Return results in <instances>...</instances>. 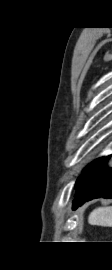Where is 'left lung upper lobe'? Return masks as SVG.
Returning a JSON list of instances; mask_svg holds the SVG:
<instances>
[{
  "label": "left lung upper lobe",
  "instance_id": "1",
  "mask_svg": "<svg viewBox=\"0 0 112 270\" xmlns=\"http://www.w3.org/2000/svg\"><path fill=\"white\" fill-rule=\"evenodd\" d=\"M98 160H100V159H97V160L93 161L91 164H89V165L84 169V171H85L86 169H88L90 166H92L93 164H95Z\"/></svg>",
  "mask_w": 112,
  "mask_h": 270
}]
</instances>
